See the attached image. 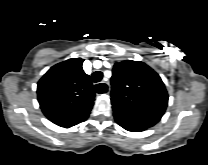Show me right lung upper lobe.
Returning <instances> with one entry per match:
<instances>
[{
  "mask_svg": "<svg viewBox=\"0 0 208 165\" xmlns=\"http://www.w3.org/2000/svg\"><path fill=\"white\" fill-rule=\"evenodd\" d=\"M84 59L73 58L51 67L39 80L38 101L44 115L54 124L70 128L85 121L94 104Z\"/></svg>",
  "mask_w": 208,
  "mask_h": 165,
  "instance_id": "right-lung-upper-lobe-1",
  "label": "right lung upper lobe"
}]
</instances>
